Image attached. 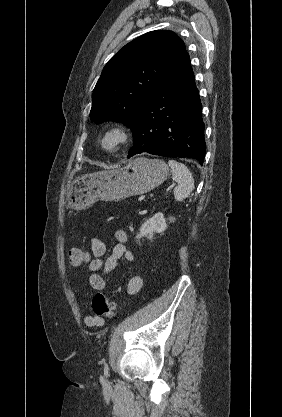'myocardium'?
<instances>
[{"label":"myocardium","mask_w":282,"mask_h":417,"mask_svg":"<svg viewBox=\"0 0 282 417\" xmlns=\"http://www.w3.org/2000/svg\"><path fill=\"white\" fill-rule=\"evenodd\" d=\"M112 139L113 142L111 146L114 149L120 147L127 140V133L122 127H114L108 130L104 135V142L107 143V140Z\"/></svg>","instance_id":"myocardium-1"}]
</instances>
